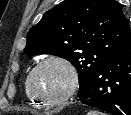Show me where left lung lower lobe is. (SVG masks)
Instances as JSON below:
<instances>
[{"instance_id":"0a47b994","label":"left lung lower lobe","mask_w":131,"mask_h":115,"mask_svg":"<svg viewBox=\"0 0 131 115\" xmlns=\"http://www.w3.org/2000/svg\"><path fill=\"white\" fill-rule=\"evenodd\" d=\"M78 98L112 115H131V35L104 62Z\"/></svg>"}]
</instances>
